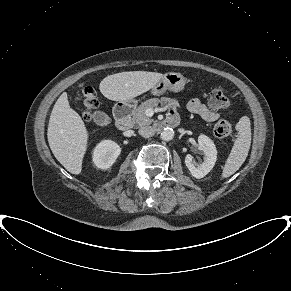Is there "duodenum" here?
I'll list each match as a JSON object with an SVG mask.
<instances>
[{"label":"duodenum","instance_id":"1","mask_svg":"<svg viewBox=\"0 0 291 291\" xmlns=\"http://www.w3.org/2000/svg\"><path fill=\"white\" fill-rule=\"evenodd\" d=\"M133 107L130 104H120L116 107L114 112L115 124L120 130H128L131 126V113ZM178 123L177 118L169 117L159 124L160 127L175 126Z\"/></svg>","mask_w":291,"mask_h":291}]
</instances>
